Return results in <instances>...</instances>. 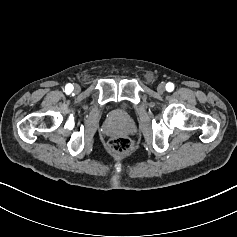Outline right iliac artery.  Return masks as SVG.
<instances>
[{
	"label": "right iliac artery",
	"instance_id": "obj_1",
	"mask_svg": "<svg viewBox=\"0 0 237 237\" xmlns=\"http://www.w3.org/2000/svg\"><path fill=\"white\" fill-rule=\"evenodd\" d=\"M73 85L72 84H67L65 87V92L66 94H70L73 91Z\"/></svg>",
	"mask_w": 237,
	"mask_h": 237
}]
</instances>
